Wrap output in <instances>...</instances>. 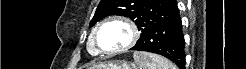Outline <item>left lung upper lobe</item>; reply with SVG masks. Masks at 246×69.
Masks as SVG:
<instances>
[{
	"mask_svg": "<svg viewBox=\"0 0 246 69\" xmlns=\"http://www.w3.org/2000/svg\"><path fill=\"white\" fill-rule=\"evenodd\" d=\"M178 9L175 0H101L90 22V27L109 15L132 19L142 33Z\"/></svg>",
	"mask_w": 246,
	"mask_h": 69,
	"instance_id": "left-lung-upper-lobe-1",
	"label": "left lung upper lobe"
}]
</instances>
